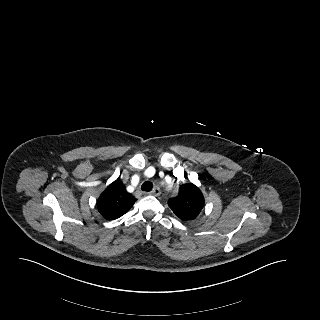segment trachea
Wrapping results in <instances>:
<instances>
[{
	"label": "trachea",
	"instance_id": "trachea-1",
	"mask_svg": "<svg viewBox=\"0 0 320 320\" xmlns=\"http://www.w3.org/2000/svg\"><path fill=\"white\" fill-rule=\"evenodd\" d=\"M152 187H153L152 183L149 181H146L142 184L141 189L142 191L149 192L151 191Z\"/></svg>",
	"mask_w": 320,
	"mask_h": 320
}]
</instances>
